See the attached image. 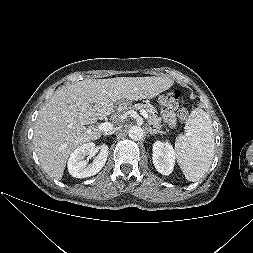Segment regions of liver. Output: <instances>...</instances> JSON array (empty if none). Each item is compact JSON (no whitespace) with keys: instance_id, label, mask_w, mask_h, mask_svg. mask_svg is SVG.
I'll return each mask as SVG.
<instances>
[{"instance_id":"liver-1","label":"liver","mask_w":253,"mask_h":253,"mask_svg":"<svg viewBox=\"0 0 253 253\" xmlns=\"http://www.w3.org/2000/svg\"><path fill=\"white\" fill-rule=\"evenodd\" d=\"M168 77H117L86 79L60 87L40 108L34 126L33 145L43 170L61 180L69 155L80 145L101 137L87 129L109 116L118 102L151 99L169 89Z\"/></svg>"}]
</instances>
